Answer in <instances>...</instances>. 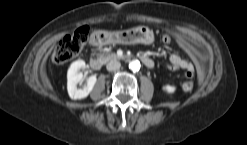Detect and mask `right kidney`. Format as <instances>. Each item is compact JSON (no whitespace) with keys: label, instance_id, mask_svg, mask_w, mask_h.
Wrapping results in <instances>:
<instances>
[{"label":"right kidney","instance_id":"1","mask_svg":"<svg viewBox=\"0 0 247 145\" xmlns=\"http://www.w3.org/2000/svg\"><path fill=\"white\" fill-rule=\"evenodd\" d=\"M85 67L86 64L83 60L73 62L69 67L67 74V89L70 98L74 100L86 98L92 91L97 81L96 76H90L87 79V84L84 88L81 89L77 87V85L80 84L83 79V73L81 72V69H84Z\"/></svg>","mask_w":247,"mask_h":145}]
</instances>
